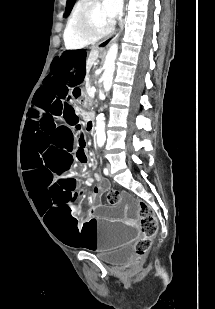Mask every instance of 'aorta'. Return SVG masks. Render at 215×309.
I'll use <instances>...</instances> for the list:
<instances>
[{"label":"aorta","instance_id":"1","mask_svg":"<svg viewBox=\"0 0 215 309\" xmlns=\"http://www.w3.org/2000/svg\"><path fill=\"white\" fill-rule=\"evenodd\" d=\"M118 52V44L117 42H113L111 44L107 54H106V60L104 64V72L102 74L103 78V88L105 90H110L112 86V80H113V72L115 70V58L117 56ZM96 134H97V144L98 146H103L106 136H105V122H104V114L101 112L99 114L97 120H96Z\"/></svg>","mask_w":215,"mask_h":309}]
</instances>
